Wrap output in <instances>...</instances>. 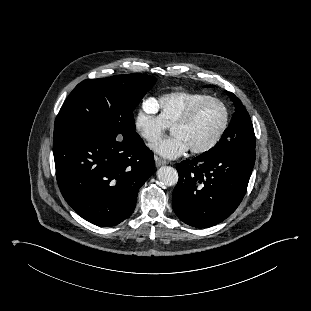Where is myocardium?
Here are the masks:
<instances>
[{"mask_svg":"<svg viewBox=\"0 0 311 311\" xmlns=\"http://www.w3.org/2000/svg\"><path fill=\"white\" fill-rule=\"evenodd\" d=\"M208 102H216L219 103L224 111V117H223V121L221 124V127L219 128L218 132L216 133V135L214 136V138L207 143L206 145L199 147V148H192L190 149V151L194 154H203L206 153L210 150H212L222 139L224 133L227 130L228 124H229V109L227 107V105L225 104V102H223L221 99L216 98V97H212V96H208L198 102H196L195 104H193L172 126H171V130H173L176 127H181V126H185L188 123H190V121L193 119V117L195 116V114L197 113V111L206 103Z\"/></svg>","mask_w":311,"mask_h":311,"instance_id":"f54148a6","label":"myocardium"}]
</instances>
